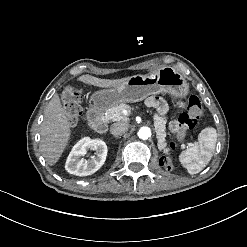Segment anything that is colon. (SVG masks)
<instances>
[{"mask_svg":"<svg viewBox=\"0 0 247 247\" xmlns=\"http://www.w3.org/2000/svg\"><path fill=\"white\" fill-rule=\"evenodd\" d=\"M62 102L64 110L69 118L72 121H79L82 116L80 94L74 89H66L62 94ZM201 114L202 105L200 99L196 95H191L188 99V112L182 113L177 119L180 122V128L176 134V139L178 141H183L188 135V132L193 130V125L201 117ZM168 148L173 153L177 150L178 145L172 142L168 144ZM161 165L166 170H174L176 168L172 157H164L161 160Z\"/></svg>","mask_w":247,"mask_h":247,"instance_id":"1","label":"colon"}]
</instances>
